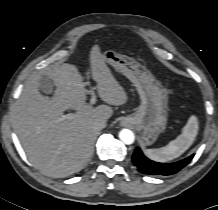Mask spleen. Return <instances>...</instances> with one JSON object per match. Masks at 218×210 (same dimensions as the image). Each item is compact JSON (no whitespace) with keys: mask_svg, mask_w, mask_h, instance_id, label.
Instances as JSON below:
<instances>
[{"mask_svg":"<svg viewBox=\"0 0 218 210\" xmlns=\"http://www.w3.org/2000/svg\"><path fill=\"white\" fill-rule=\"evenodd\" d=\"M199 123L192 115L183 127L182 133L166 146L157 149H146V155L157 162H169L182 155L194 142L198 133Z\"/></svg>","mask_w":218,"mask_h":210,"instance_id":"1","label":"spleen"}]
</instances>
